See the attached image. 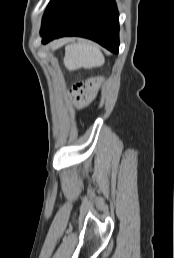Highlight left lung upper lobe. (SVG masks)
Wrapping results in <instances>:
<instances>
[{"instance_id": "5c2ea615", "label": "left lung upper lobe", "mask_w": 174, "mask_h": 258, "mask_svg": "<svg viewBox=\"0 0 174 258\" xmlns=\"http://www.w3.org/2000/svg\"><path fill=\"white\" fill-rule=\"evenodd\" d=\"M58 0H50L47 8H46V11L44 13V16H43V19L42 21L45 19V17L48 15V13L50 12V10L53 8V6L55 5V3L57 2Z\"/></svg>"}]
</instances>
